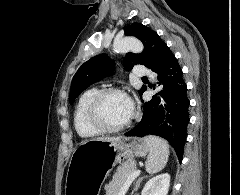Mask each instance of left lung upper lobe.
I'll list each match as a JSON object with an SVG mask.
<instances>
[{
    "mask_svg": "<svg viewBox=\"0 0 240 195\" xmlns=\"http://www.w3.org/2000/svg\"><path fill=\"white\" fill-rule=\"evenodd\" d=\"M124 30L125 35L138 38L144 45V51L142 53L126 54L123 60V65L126 70H131L135 64H141L155 72L167 57L172 54L169 47L161 40L159 35L143 24L133 23L125 26ZM113 70L114 62L104 53L86 61L76 72L72 80L70 103L89 85L111 75ZM146 90L147 88L143 86L139 90V94L142 95Z\"/></svg>",
    "mask_w": 240,
    "mask_h": 195,
    "instance_id": "1",
    "label": "left lung upper lobe"
}]
</instances>
